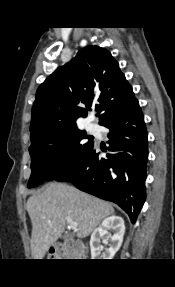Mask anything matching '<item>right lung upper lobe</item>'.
Masks as SVG:
<instances>
[{
	"label": "right lung upper lobe",
	"instance_id": "1",
	"mask_svg": "<svg viewBox=\"0 0 175 287\" xmlns=\"http://www.w3.org/2000/svg\"><path fill=\"white\" fill-rule=\"evenodd\" d=\"M134 101L133 89L110 52L87 46L38 88L32 108L31 141L77 128V118L86 117L96 102L100 123Z\"/></svg>",
	"mask_w": 175,
	"mask_h": 287
}]
</instances>
